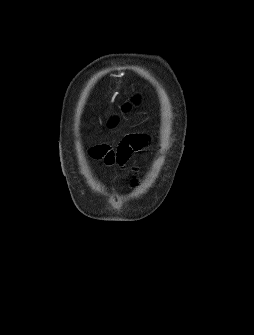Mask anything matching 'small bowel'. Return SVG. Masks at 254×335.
I'll return each mask as SVG.
<instances>
[{
    "mask_svg": "<svg viewBox=\"0 0 254 335\" xmlns=\"http://www.w3.org/2000/svg\"><path fill=\"white\" fill-rule=\"evenodd\" d=\"M149 143V138L145 135L135 134L126 137L116 152L110 150L105 145L96 146L93 148V156L99 159H103L107 165H111L114 162L120 165H125L130 159L133 152L141 150Z\"/></svg>",
    "mask_w": 254,
    "mask_h": 335,
    "instance_id": "obj_1",
    "label": "small bowel"
}]
</instances>
